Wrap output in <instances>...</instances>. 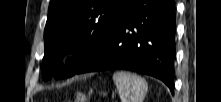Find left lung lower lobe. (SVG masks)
I'll use <instances>...</instances> for the list:
<instances>
[{"mask_svg": "<svg viewBox=\"0 0 221 102\" xmlns=\"http://www.w3.org/2000/svg\"><path fill=\"white\" fill-rule=\"evenodd\" d=\"M173 0H128L108 38L75 73L126 69L162 80L173 92Z\"/></svg>", "mask_w": 221, "mask_h": 102, "instance_id": "0a47b994", "label": "left lung lower lobe"}]
</instances>
